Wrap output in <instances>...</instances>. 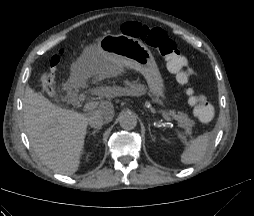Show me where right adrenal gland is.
I'll use <instances>...</instances> for the list:
<instances>
[{
  "label": "right adrenal gland",
  "mask_w": 254,
  "mask_h": 216,
  "mask_svg": "<svg viewBox=\"0 0 254 216\" xmlns=\"http://www.w3.org/2000/svg\"><path fill=\"white\" fill-rule=\"evenodd\" d=\"M99 129H96L94 131H92V135L95 136V134L98 132Z\"/></svg>",
  "instance_id": "right-adrenal-gland-1"
}]
</instances>
